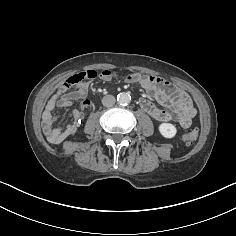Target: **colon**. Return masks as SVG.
Instances as JSON below:
<instances>
[{"mask_svg": "<svg viewBox=\"0 0 236 236\" xmlns=\"http://www.w3.org/2000/svg\"><path fill=\"white\" fill-rule=\"evenodd\" d=\"M101 74L104 75V76H107V77H109V78H111V77L114 76V73L111 72V71H108V70L103 71ZM127 79H128L129 81H136V80L138 79V75H136V74L128 75V76H127ZM197 137H198V131H197V130H192V131L186 133V134L183 136V140H184L185 142H192V141H195V140L197 139Z\"/></svg>", "mask_w": 236, "mask_h": 236, "instance_id": "colon-1", "label": "colon"}]
</instances>
